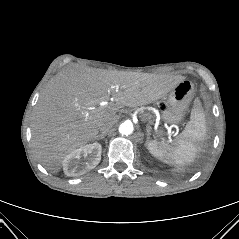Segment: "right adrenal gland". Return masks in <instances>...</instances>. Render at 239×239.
I'll return each mask as SVG.
<instances>
[{"mask_svg": "<svg viewBox=\"0 0 239 239\" xmlns=\"http://www.w3.org/2000/svg\"><path fill=\"white\" fill-rule=\"evenodd\" d=\"M104 134H105V133L99 135V136L97 137V139H98V140H99V139H103V138H104Z\"/></svg>", "mask_w": 239, "mask_h": 239, "instance_id": "1", "label": "right adrenal gland"}]
</instances>
